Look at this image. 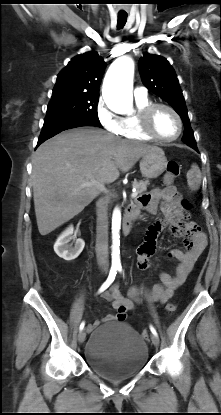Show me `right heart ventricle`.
<instances>
[{
    "instance_id": "e07e8e85",
    "label": "right heart ventricle",
    "mask_w": 221,
    "mask_h": 415,
    "mask_svg": "<svg viewBox=\"0 0 221 415\" xmlns=\"http://www.w3.org/2000/svg\"><path fill=\"white\" fill-rule=\"evenodd\" d=\"M137 112L122 118V130L120 135L127 139H135L141 141H149L151 138L147 136L141 129L139 123V113L147 105L151 103L148 97L135 98Z\"/></svg>"
}]
</instances>
